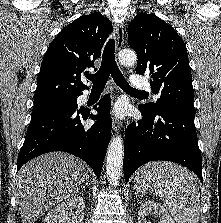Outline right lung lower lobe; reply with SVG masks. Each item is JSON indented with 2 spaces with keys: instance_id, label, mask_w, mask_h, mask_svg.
Masks as SVG:
<instances>
[{
  "instance_id": "right-lung-lower-lobe-1",
  "label": "right lung lower lobe",
  "mask_w": 221,
  "mask_h": 223,
  "mask_svg": "<svg viewBox=\"0 0 221 223\" xmlns=\"http://www.w3.org/2000/svg\"><path fill=\"white\" fill-rule=\"evenodd\" d=\"M110 107L111 100L106 95L94 106L97 115L84 107L56 108L32 115L18 155L17 171L39 155L64 151L83 159L99 178L111 138ZM87 119L96 121L92 126H86L84 121Z\"/></svg>"
}]
</instances>
